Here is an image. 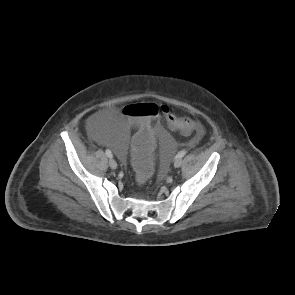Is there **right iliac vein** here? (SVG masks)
Instances as JSON below:
<instances>
[{
  "label": "right iliac vein",
  "instance_id": "obj_1",
  "mask_svg": "<svg viewBox=\"0 0 295 295\" xmlns=\"http://www.w3.org/2000/svg\"><path fill=\"white\" fill-rule=\"evenodd\" d=\"M109 166H110L112 169H116V168H117V162H116L114 159H110V160H109Z\"/></svg>",
  "mask_w": 295,
  "mask_h": 295
}]
</instances>
